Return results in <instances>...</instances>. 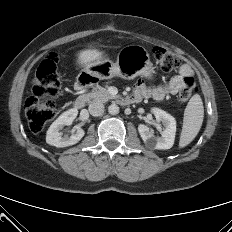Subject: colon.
Returning <instances> with one entry per match:
<instances>
[{"label":"colon","instance_id":"5ec220e1","mask_svg":"<svg viewBox=\"0 0 232 232\" xmlns=\"http://www.w3.org/2000/svg\"><path fill=\"white\" fill-rule=\"evenodd\" d=\"M153 56L158 67L165 72L172 71L180 65V59L162 47L153 49ZM56 59L48 56L38 67L33 84L32 94L25 103L26 118L32 132H40L43 127L55 116L53 99L58 96L61 79L56 69ZM196 84L192 77H185L178 92L181 102H187L194 91Z\"/></svg>","mask_w":232,"mask_h":232}]
</instances>
